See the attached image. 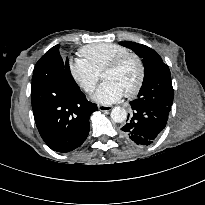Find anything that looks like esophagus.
I'll return each mask as SVG.
<instances>
[{
  "mask_svg": "<svg viewBox=\"0 0 205 205\" xmlns=\"http://www.w3.org/2000/svg\"><path fill=\"white\" fill-rule=\"evenodd\" d=\"M98 109L100 111L106 112V111H110L112 109L111 106H107V105H98Z\"/></svg>",
  "mask_w": 205,
  "mask_h": 205,
  "instance_id": "esophagus-1",
  "label": "esophagus"
}]
</instances>
